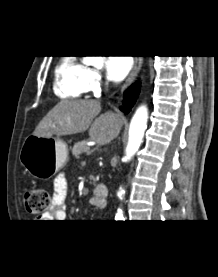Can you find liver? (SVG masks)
<instances>
[{
  "instance_id": "6515ba94",
  "label": "liver",
  "mask_w": 218,
  "mask_h": 277,
  "mask_svg": "<svg viewBox=\"0 0 218 277\" xmlns=\"http://www.w3.org/2000/svg\"><path fill=\"white\" fill-rule=\"evenodd\" d=\"M100 111L97 100H62L39 122L33 135L59 137L89 129V136L98 145H105L118 136L121 122L112 111L99 115Z\"/></svg>"
}]
</instances>
